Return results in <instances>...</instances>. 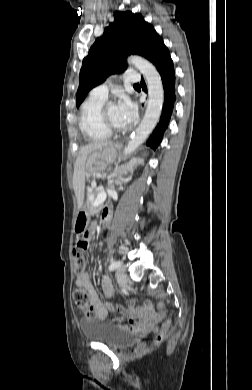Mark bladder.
Instances as JSON below:
<instances>
[{
  "mask_svg": "<svg viewBox=\"0 0 252 390\" xmlns=\"http://www.w3.org/2000/svg\"><path fill=\"white\" fill-rule=\"evenodd\" d=\"M80 326L87 339L113 349L125 348L136 341L128 330L99 319L83 320Z\"/></svg>",
  "mask_w": 252,
  "mask_h": 390,
  "instance_id": "bladder-1",
  "label": "bladder"
}]
</instances>
